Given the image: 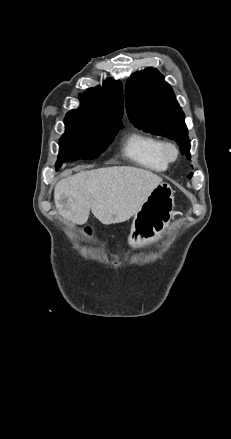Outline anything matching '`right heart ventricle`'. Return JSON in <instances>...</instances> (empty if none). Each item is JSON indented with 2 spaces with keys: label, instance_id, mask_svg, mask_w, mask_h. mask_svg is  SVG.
<instances>
[{
  "label": "right heart ventricle",
  "instance_id": "1",
  "mask_svg": "<svg viewBox=\"0 0 231 439\" xmlns=\"http://www.w3.org/2000/svg\"><path fill=\"white\" fill-rule=\"evenodd\" d=\"M163 141L152 135L133 131L125 139L124 154L136 164L157 172L165 171L168 162L162 153Z\"/></svg>",
  "mask_w": 231,
  "mask_h": 439
}]
</instances>
